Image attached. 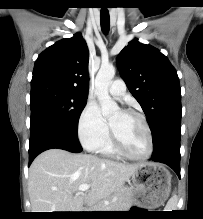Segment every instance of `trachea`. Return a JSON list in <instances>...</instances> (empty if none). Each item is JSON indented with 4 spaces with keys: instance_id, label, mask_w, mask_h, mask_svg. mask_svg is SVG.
Instances as JSON below:
<instances>
[{
    "instance_id": "3493384b",
    "label": "trachea",
    "mask_w": 203,
    "mask_h": 219,
    "mask_svg": "<svg viewBox=\"0 0 203 219\" xmlns=\"http://www.w3.org/2000/svg\"><path fill=\"white\" fill-rule=\"evenodd\" d=\"M100 23L102 31L106 34L109 31L110 27V17L108 11H101Z\"/></svg>"
}]
</instances>
